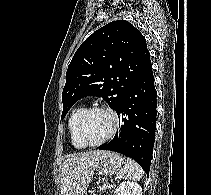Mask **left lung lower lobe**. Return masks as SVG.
<instances>
[{
  "instance_id": "1",
  "label": "left lung lower lobe",
  "mask_w": 211,
  "mask_h": 195,
  "mask_svg": "<svg viewBox=\"0 0 211 195\" xmlns=\"http://www.w3.org/2000/svg\"><path fill=\"white\" fill-rule=\"evenodd\" d=\"M157 92L151 62L136 79L116 110L120 128L113 140L99 147L134 159L149 174L155 141Z\"/></svg>"
}]
</instances>
